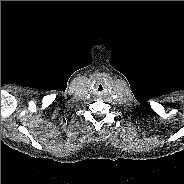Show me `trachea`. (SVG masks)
Instances as JSON below:
<instances>
[{
    "instance_id": "1",
    "label": "trachea",
    "mask_w": 184,
    "mask_h": 184,
    "mask_svg": "<svg viewBox=\"0 0 184 184\" xmlns=\"http://www.w3.org/2000/svg\"><path fill=\"white\" fill-rule=\"evenodd\" d=\"M94 88L96 92L102 93L105 90V84L102 81H97Z\"/></svg>"
}]
</instances>
